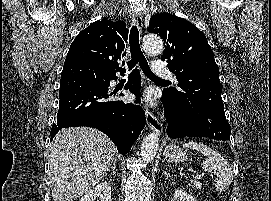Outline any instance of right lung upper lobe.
<instances>
[{
  "mask_svg": "<svg viewBox=\"0 0 271 201\" xmlns=\"http://www.w3.org/2000/svg\"><path fill=\"white\" fill-rule=\"evenodd\" d=\"M128 37L124 21L102 19L81 31L72 42L65 63L81 61L110 71H124L118 60Z\"/></svg>",
  "mask_w": 271,
  "mask_h": 201,
  "instance_id": "cb5924a9",
  "label": "right lung upper lobe"
}]
</instances>
